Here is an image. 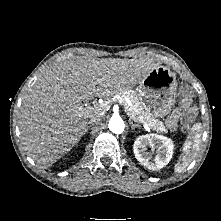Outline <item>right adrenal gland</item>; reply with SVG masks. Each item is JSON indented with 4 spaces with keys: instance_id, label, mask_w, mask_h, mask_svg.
I'll return each instance as SVG.
<instances>
[{
    "instance_id": "2a0ac1e0",
    "label": "right adrenal gland",
    "mask_w": 221,
    "mask_h": 221,
    "mask_svg": "<svg viewBox=\"0 0 221 221\" xmlns=\"http://www.w3.org/2000/svg\"><path fill=\"white\" fill-rule=\"evenodd\" d=\"M89 128H90V126H87V127H86V129H85V131H84V134H86V133L88 132Z\"/></svg>"
}]
</instances>
